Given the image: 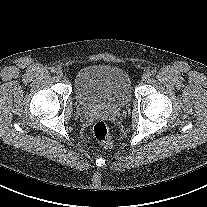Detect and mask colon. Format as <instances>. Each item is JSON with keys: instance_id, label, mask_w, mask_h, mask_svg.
Returning a JSON list of instances; mask_svg holds the SVG:
<instances>
[{"instance_id": "obj_1", "label": "colon", "mask_w": 207, "mask_h": 207, "mask_svg": "<svg viewBox=\"0 0 207 207\" xmlns=\"http://www.w3.org/2000/svg\"><path fill=\"white\" fill-rule=\"evenodd\" d=\"M93 135L104 147L112 146V138L108 125L103 120H98L93 126Z\"/></svg>"}]
</instances>
